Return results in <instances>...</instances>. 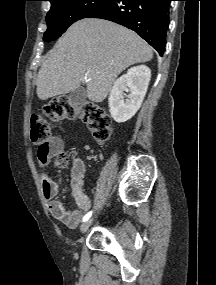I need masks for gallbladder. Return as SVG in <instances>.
Masks as SVG:
<instances>
[{"instance_id": "gallbladder-1", "label": "gallbladder", "mask_w": 216, "mask_h": 285, "mask_svg": "<svg viewBox=\"0 0 216 285\" xmlns=\"http://www.w3.org/2000/svg\"><path fill=\"white\" fill-rule=\"evenodd\" d=\"M85 98H86L85 89L79 87L69 95V102L72 106H80L84 103Z\"/></svg>"}]
</instances>
